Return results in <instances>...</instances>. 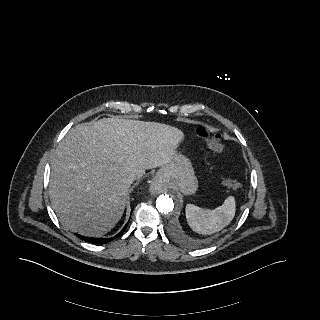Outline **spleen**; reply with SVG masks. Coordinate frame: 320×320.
I'll return each mask as SVG.
<instances>
[{
    "mask_svg": "<svg viewBox=\"0 0 320 320\" xmlns=\"http://www.w3.org/2000/svg\"><path fill=\"white\" fill-rule=\"evenodd\" d=\"M235 212V199L230 196L214 210L188 204L186 206V219L193 231L202 235H210L225 228L233 220Z\"/></svg>",
    "mask_w": 320,
    "mask_h": 320,
    "instance_id": "3e777b00",
    "label": "spleen"
}]
</instances>
